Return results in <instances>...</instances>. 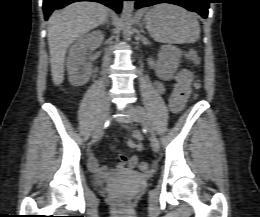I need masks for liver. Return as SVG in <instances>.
Instances as JSON below:
<instances>
[{
    "label": "liver",
    "instance_id": "liver-1",
    "mask_svg": "<svg viewBox=\"0 0 260 217\" xmlns=\"http://www.w3.org/2000/svg\"><path fill=\"white\" fill-rule=\"evenodd\" d=\"M107 18V8L95 2H75L50 16L48 45L55 85L64 80L65 55L69 46L82 34L105 23Z\"/></svg>",
    "mask_w": 260,
    "mask_h": 217
}]
</instances>
